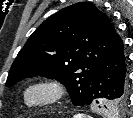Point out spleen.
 I'll return each instance as SVG.
<instances>
[{"label": "spleen", "instance_id": "spleen-1", "mask_svg": "<svg viewBox=\"0 0 133 118\" xmlns=\"http://www.w3.org/2000/svg\"><path fill=\"white\" fill-rule=\"evenodd\" d=\"M74 118H82V117L74 116Z\"/></svg>", "mask_w": 133, "mask_h": 118}]
</instances>
